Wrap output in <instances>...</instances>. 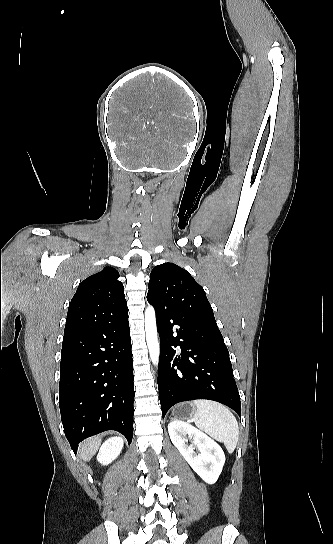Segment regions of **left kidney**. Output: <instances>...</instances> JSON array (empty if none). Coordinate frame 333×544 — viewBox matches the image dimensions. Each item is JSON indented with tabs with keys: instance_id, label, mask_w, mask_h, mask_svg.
<instances>
[{
	"instance_id": "obj_1",
	"label": "left kidney",
	"mask_w": 333,
	"mask_h": 544,
	"mask_svg": "<svg viewBox=\"0 0 333 544\" xmlns=\"http://www.w3.org/2000/svg\"><path fill=\"white\" fill-rule=\"evenodd\" d=\"M170 439L192 469L208 484H214L221 474L225 455L220 445L194 426L174 420L168 425ZM193 444L188 445V439ZM198 448L199 453L194 451Z\"/></svg>"
}]
</instances>
